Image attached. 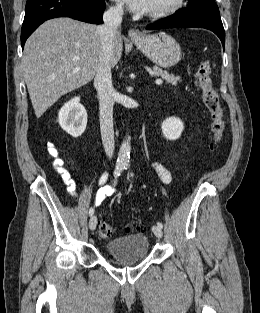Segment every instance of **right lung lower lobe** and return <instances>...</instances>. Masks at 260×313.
I'll return each instance as SVG.
<instances>
[{
	"label": "right lung lower lobe",
	"mask_w": 260,
	"mask_h": 313,
	"mask_svg": "<svg viewBox=\"0 0 260 313\" xmlns=\"http://www.w3.org/2000/svg\"><path fill=\"white\" fill-rule=\"evenodd\" d=\"M105 6L103 0H27L21 30L22 48L34 30L51 18L70 17L92 24H102Z\"/></svg>",
	"instance_id": "98d812e1"
}]
</instances>
